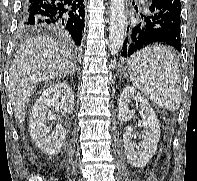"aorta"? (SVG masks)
I'll use <instances>...</instances> for the list:
<instances>
[{"mask_svg": "<svg viewBox=\"0 0 197 181\" xmlns=\"http://www.w3.org/2000/svg\"><path fill=\"white\" fill-rule=\"evenodd\" d=\"M125 35L124 0H110L109 49L116 55L122 48Z\"/></svg>", "mask_w": 197, "mask_h": 181, "instance_id": "762f6f07", "label": "aorta"}]
</instances>
